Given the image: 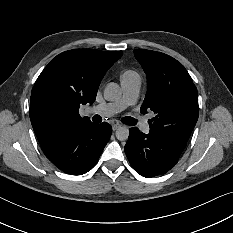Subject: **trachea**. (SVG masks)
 I'll list each match as a JSON object with an SVG mask.
<instances>
[{"mask_svg": "<svg viewBox=\"0 0 233 233\" xmlns=\"http://www.w3.org/2000/svg\"><path fill=\"white\" fill-rule=\"evenodd\" d=\"M122 122L127 125H136L138 123V119H134L132 117H124Z\"/></svg>", "mask_w": 233, "mask_h": 233, "instance_id": "obj_1", "label": "trachea"}]
</instances>
